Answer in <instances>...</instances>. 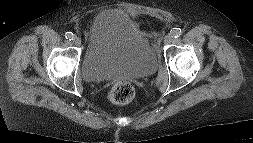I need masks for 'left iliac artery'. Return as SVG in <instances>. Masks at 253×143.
Listing matches in <instances>:
<instances>
[{
    "instance_id": "left-iliac-artery-1",
    "label": "left iliac artery",
    "mask_w": 253,
    "mask_h": 143,
    "mask_svg": "<svg viewBox=\"0 0 253 143\" xmlns=\"http://www.w3.org/2000/svg\"><path fill=\"white\" fill-rule=\"evenodd\" d=\"M170 34L172 35V37L178 38L182 34V30L180 28H173Z\"/></svg>"
}]
</instances>
